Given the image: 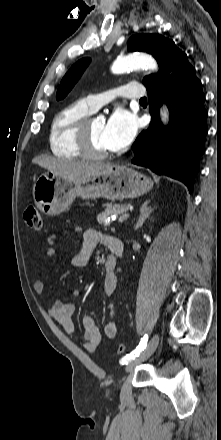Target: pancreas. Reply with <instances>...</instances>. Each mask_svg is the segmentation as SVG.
Listing matches in <instances>:
<instances>
[{
    "mask_svg": "<svg viewBox=\"0 0 221 440\" xmlns=\"http://www.w3.org/2000/svg\"><path fill=\"white\" fill-rule=\"evenodd\" d=\"M129 205H111L108 204L103 212L97 215V221L100 225L104 227L108 226L109 223L106 222L107 217L112 215L122 216L126 211H128Z\"/></svg>",
    "mask_w": 221,
    "mask_h": 440,
    "instance_id": "cf45deb5",
    "label": "pancreas"
}]
</instances>
